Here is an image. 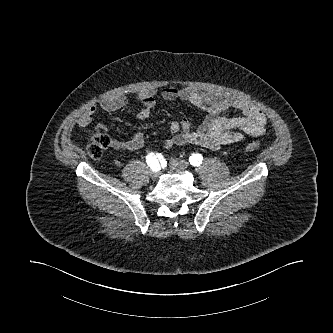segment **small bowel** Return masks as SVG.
<instances>
[{
  "instance_id": "c3829d8e",
  "label": "small bowel",
  "mask_w": 333,
  "mask_h": 333,
  "mask_svg": "<svg viewBox=\"0 0 333 333\" xmlns=\"http://www.w3.org/2000/svg\"><path fill=\"white\" fill-rule=\"evenodd\" d=\"M161 96L167 101H186L206 112L203 123L192 129L187 118H182L170 124V136L163 142L171 148L185 144H193L206 149L216 150L223 145L239 142L245 136L261 137L266 132L265 114L250 101L236 95L224 93H204L191 87L166 86L160 90ZM156 89L141 90L136 94L142 109L137 114L138 120H145L156 104ZM127 104L124 95L107 97L99 102V107L106 112L121 109ZM228 109H236L239 116H226ZM96 106H91L78 120L79 127L88 126L96 112ZM103 130V126L97 132ZM144 144V135L140 132L122 139H112L111 147L122 151H136Z\"/></svg>"
}]
</instances>
